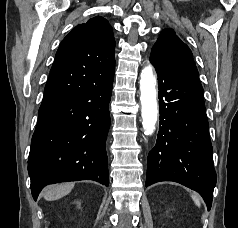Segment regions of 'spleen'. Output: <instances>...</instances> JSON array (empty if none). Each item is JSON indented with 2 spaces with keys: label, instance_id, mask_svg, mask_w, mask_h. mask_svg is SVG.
Masks as SVG:
<instances>
[{
  "label": "spleen",
  "instance_id": "3e777b00",
  "mask_svg": "<svg viewBox=\"0 0 238 228\" xmlns=\"http://www.w3.org/2000/svg\"><path fill=\"white\" fill-rule=\"evenodd\" d=\"M191 197H192L193 201L195 202V204L198 207H200V205H201L200 197L198 195H196V194H192Z\"/></svg>",
  "mask_w": 238,
  "mask_h": 228
}]
</instances>
